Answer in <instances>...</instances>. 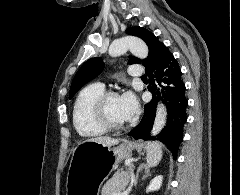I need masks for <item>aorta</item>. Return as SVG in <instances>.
<instances>
[{"instance_id":"obj_1","label":"aorta","mask_w":240,"mask_h":195,"mask_svg":"<svg viewBox=\"0 0 240 195\" xmlns=\"http://www.w3.org/2000/svg\"><path fill=\"white\" fill-rule=\"evenodd\" d=\"M128 50H130L133 56L141 58V60L147 58L149 54L148 46H146L145 42L140 40V38H121V40H115V42H112L108 52L109 56L116 58V56L126 54ZM166 115L167 111L165 105H163V103H158L151 131L152 135H156V133H159V131L163 129L167 119Z\"/></svg>"}]
</instances>
